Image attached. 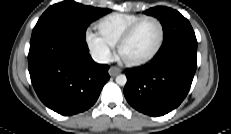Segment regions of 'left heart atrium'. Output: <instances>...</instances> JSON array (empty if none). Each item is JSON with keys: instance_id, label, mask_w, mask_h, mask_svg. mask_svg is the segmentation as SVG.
<instances>
[{"instance_id": "obj_1", "label": "left heart atrium", "mask_w": 231, "mask_h": 134, "mask_svg": "<svg viewBox=\"0 0 231 134\" xmlns=\"http://www.w3.org/2000/svg\"><path fill=\"white\" fill-rule=\"evenodd\" d=\"M121 59L126 62V59L120 54Z\"/></svg>"}]
</instances>
